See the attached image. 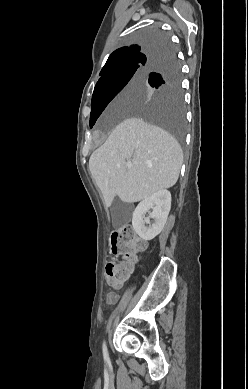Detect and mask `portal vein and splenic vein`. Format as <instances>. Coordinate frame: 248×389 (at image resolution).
Segmentation results:
<instances>
[{"label":"portal vein and splenic vein","mask_w":248,"mask_h":389,"mask_svg":"<svg viewBox=\"0 0 248 389\" xmlns=\"http://www.w3.org/2000/svg\"><path fill=\"white\" fill-rule=\"evenodd\" d=\"M127 166H128V168H131V167H132V164H131V163H128Z\"/></svg>","instance_id":"1"}]
</instances>
